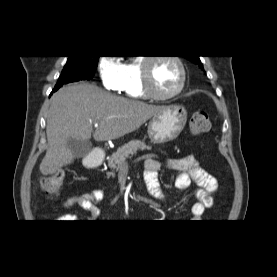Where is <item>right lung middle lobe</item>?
I'll return each instance as SVG.
<instances>
[{"mask_svg": "<svg viewBox=\"0 0 277 277\" xmlns=\"http://www.w3.org/2000/svg\"><path fill=\"white\" fill-rule=\"evenodd\" d=\"M99 56L96 57H77L68 56L66 65L59 77L58 82L63 81L64 84L73 82L76 80H89L98 65ZM57 82V83H58Z\"/></svg>", "mask_w": 277, "mask_h": 277, "instance_id": "1", "label": "right lung middle lobe"}]
</instances>
